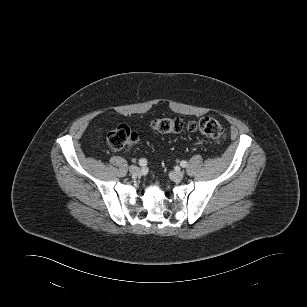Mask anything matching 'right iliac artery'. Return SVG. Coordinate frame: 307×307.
<instances>
[{"instance_id":"right-iliac-artery-1","label":"right iliac artery","mask_w":307,"mask_h":307,"mask_svg":"<svg viewBox=\"0 0 307 307\" xmlns=\"http://www.w3.org/2000/svg\"><path fill=\"white\" fill-rule=\"evenodd\" d=\"M139 165H140L141 167L146 166V165H147V160H146L145 158L140 159V160H139Z\"/></svg>"}]
</instances>
